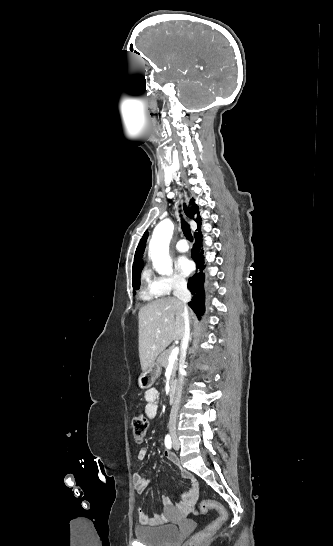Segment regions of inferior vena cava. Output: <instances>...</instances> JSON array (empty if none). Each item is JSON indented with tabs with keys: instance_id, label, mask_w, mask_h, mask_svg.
<instances>
[{
	"instance_id": "1",
	"label": "inferior vena cava",
	"mask_w": 333,
	"mask_h": 546,
	"mask_svg": "<svg viewBox=\"0 0 333 546\" xmlns=\"http://www.w3.org/2000/svg\"><path fill=\"white\" fill-rule=\"evenodd\" d=\"M173 287H174V296L178 300H180L183 304V335L181 339V346H182V358H184L186 355L188 343L190 340V318H189L187 303L191 300V294L189 290L187 289L186 281L183 279H176L173 283ZM181 365H182L181 368H183V363ZM183 379H184L183 374H180L177 388H176L174 402H173L171 413H170V419H169V425H168L170 432L176 431V419H177V414H178L179 405L181 401Z\"/></svg>"
}]
</instances>
